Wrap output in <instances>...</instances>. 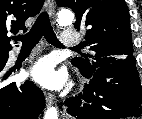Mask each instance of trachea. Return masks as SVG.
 Here are the masks:
<instances>
[{
	"mask_svg": "<svg viewBox=\"0 0 142 119\" xmlns=\"http://www.w3.org/2000/svg\"><path fill=\"white\" fill-rule=\"evenodd\" d=\"M42 36H44L46 41L51 45L59 48L63 47L53 31L47 12H42L30 31L25 35L16 36V40L22 42V47L32 48L39 42ZM73 49H78V47H73Z\"/></svg>",
	"mask_w": 142,
	"mask_h": 119,
	"instance_id": "obj_1",
	"label": "trachea"
}]
</instances>
